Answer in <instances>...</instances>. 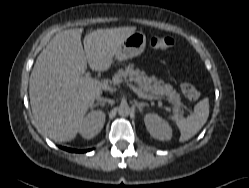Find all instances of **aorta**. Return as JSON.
<instances>
[{
  "mask_svg": "<svg viewBox=\"0 0 249 188\" xmlns=\"http://www.w3.org/2000/svg\"><path fill=\"white\" fill-rule=\"evenodd\" d=\"M118 114L122 117H126L130 114V107L127 104H121L118 107Z\"/></svg>",
  "mask_w": 249,
  "mask_h": 188,
  "instance_id": "obj_1",
  "label": "aorta"
}]
</instances>
